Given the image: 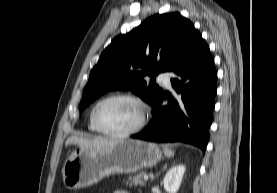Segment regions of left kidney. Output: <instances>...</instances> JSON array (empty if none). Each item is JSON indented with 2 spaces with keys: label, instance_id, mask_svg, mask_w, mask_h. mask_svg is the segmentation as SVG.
I'll return each mask as SVG.
<instances>
[{
  "label": "left kidney",
  "instance_id": "1",
  "mask_svg": "<svg viewBox=\"0 0 277 193\" xmlns=\"http://www.w3.org/2000/svg\"><path fill=\"white\" fill-rule=\"evenodd\" d=\"M186 167L184 164H177L170 168L163 179L164 189L168 193H176L181 185Z\"/></svg>",
  "mask_w": 277,
  "mask_h": 193
}]
</instances>
